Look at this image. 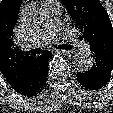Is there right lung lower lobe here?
I'll use <instances>...</instances> for the list:
<instances>
[{
	"label": "right lung lower lobe",
	"mask_w": 113,
	"mask_h": 113,
	"mask_svg": "<svg viewBox=\"0 0 113 113\" xmlns=\"http://www.w3.org/2000/svg\"><path fill=\"white\" fill-rule=\"evenodd\" d=\"M51 52H43L40 56L34 57L26 75L11 87L21 95L32 97L40 93L48 77V59Z\"/></svg>",
	"instance_id": "obj_1"
}]
</instances>
